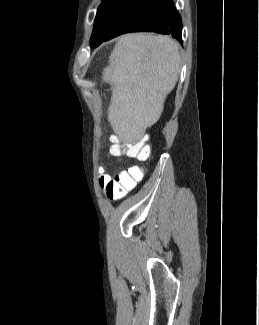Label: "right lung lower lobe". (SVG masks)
<instances>
[{"instance_id":"right-lung-lower-lobe-1","label":"right lung lower lobe","mask_w":259,"mask_h":325,"mask_svg":"<svg viewBox=\"0 0 259 325\" xmlns=\"http://www.w3.org/2000/svg\"><path fill=\"white\" fill-rule=\"evenodd\" d=\"M181 30V17L172 0H133L103 41L128 32L146 31L172 35L182 43Z\"/></svg>"}]
</instances>
